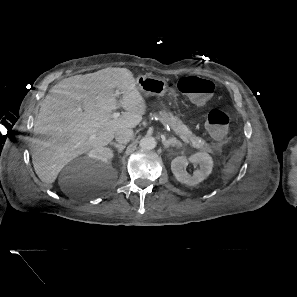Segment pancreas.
<instances>
[{
    "instance_id": "pancreas-1",
    "label": "pancreas",
    "mask_w": 297,
    "mask_h": 297,
    "mask_svg": "<svg viewBox=\"0 0 297 297\" xmlns=\"http://www.w3.org/2000/svg\"><path fill=\"white\" fill-rule=\"evenodd\" d=\"M159 117L163 122L167 123L176 134L184 136L188 140V143L194 148L211 154L214 153L212 145L208 144L204 139L194 135L187 126L184 125L178 117L173 116L172 113L160 111Z\"/></svg>"
}]
</instances>
